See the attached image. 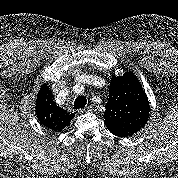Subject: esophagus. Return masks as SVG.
Returning a JSON list of instances; mask_svg holds the SVG:
<instances>
[{
  "instance_id": "esophagus-1",
  "label": "esophagus",
  "mask_w": 178,
  "mask_h": 178,
  "mask_svg": "<svg viewBox=\"0 0 178 178\" xmlns=\"http://www.w3.org/2000/svg\"><path fill=\"white\" fill-rule=\"evenodd\" d=\"M92 108H93L92 106H88L86 108H80V109H78V113L82 114V113H85V112L92 111L93 110Z\"/></svg>"
}]
</instances>
